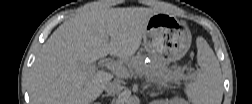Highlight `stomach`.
I'll return each mask as SVG.
<instances>
[{"mask_svg":"<svg viewBox=\"0 0 252 104\" xmlns=\"http://www.w3.org/2000/svg\"><path fill=\"white\" fill-rule=\"evenodd\" d=\"M191 32L183 22L167 13L149 19L143 35L145 51L163 64L180 60L191 45Z\"/></svg>","mask_w":252,"mask_h":104,"instance_id":"obj_1","label":"stomach"}]
</instances>
